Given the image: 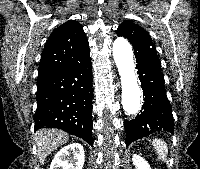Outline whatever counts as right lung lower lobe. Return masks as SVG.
Wrapping results in <instances>:
<instances>
[{
  "instance_id": "1",
  "label": "right lung lower lobe",
  "mask_w": 200,
  "mask_h": 169,
  "mask_svg": "<svg viewBox=\"0 0 200 169\" xmlns=\"http://www.w3.org/2000/svg\"><path fill=\"white\" fill-rule=\"evenodd\" d=\"M92 81L89 52L70 66L38 75L35 130L59 128L93 145Z\"/></svg>"
}]
</instances>
